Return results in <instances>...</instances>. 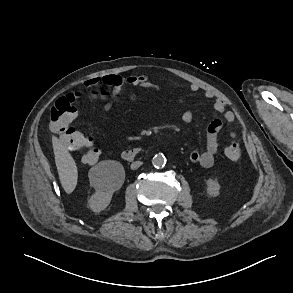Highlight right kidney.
<instances>
[{"label":"right kidney","mask_w":293,"mask_h":293,"mask_svg":"<svg viewBox=\"0 0 293 293\" xmlns=\"http://www.w3.org/2000/svg\"><path fill=\"white\" fill-rule=\"evenodd\" d=\"M103 165L105 166L106 176L89 199V207L94 212L106 209L111 202L113 193L121 188L125 179L124 168L119 162L108 160L104 161Z\"/></svg>","instance_id":"obj_1"}]
</instances>
